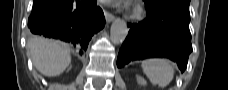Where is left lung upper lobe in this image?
Wrapping results in <instances>:
<instances>
[{"label": "left lung upper lobe", "instance_id": "5c2ea615", "mask_svg": "<svg viewBox=\"0 0 228 90\" xmlns=\"http://www.w3.org/2000/svg\"><path fill=\"white\" fill-rule=\"evenodd\" d=\"M152 1L164 5L170 10L185 11L189 10L190 0H144V2Z\"/></svg>", "mask_w": 228, "mask_h": 90}]
</instances>
